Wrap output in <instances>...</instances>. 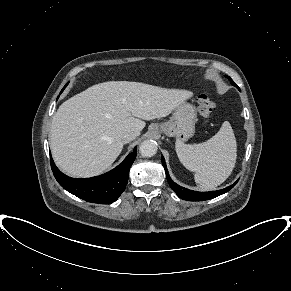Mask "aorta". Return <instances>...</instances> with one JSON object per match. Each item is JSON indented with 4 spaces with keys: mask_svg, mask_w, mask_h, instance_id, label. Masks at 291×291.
Instances as JSON below:
<instances>
[{
    "mask_svg": "<svg viewBox=\"0 0 291 291\" xmlns=\"http://www.w3.org/2000/svg\"><path fill=\"white\" fill-rule=\"evenodd\" d=\"M139 151L143 157H152L157 153V143L153 140H145L141 143Z\"/></svg>",
    "mask_w": 291,
    "mask_h": 291,
    "instance_id": "obj_1",
    "label": "aorta"
}]
</instances>
